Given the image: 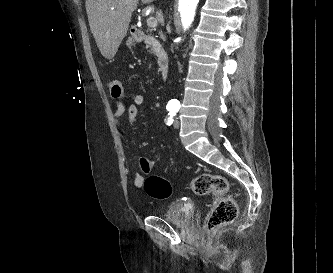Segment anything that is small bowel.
Masks as SVG:
<instances>
[{
  "label": "small bowel",
  "instance_id": "1",
  "mask_svg": "<svg viewBox=\"0 0 333 273\" xmlns=\"http://www.w3.org/2000/svg\"><path fill=\"white\" fill-rule=\"evenodd\" d=\"M146 98L143 94H137L134 96L132 103L129 106H119L113 113V121L115 125L120 128L123 119H126L127 125L132 128L141 106L144 105ZM120 135L123 138V133L120 131ZM144 176L140 173H135L133 177V184L136 188H142L144 186Z\"/></svg>",
  "mask_w": 333,
  "mask_h": 273
}]
</instances>
